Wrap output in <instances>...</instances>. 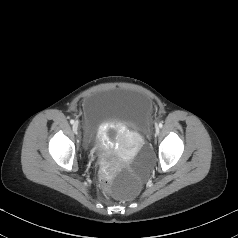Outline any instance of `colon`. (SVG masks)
I'll return each mask as SVG.
<instances>
[{"instance_id": "obj_1", "label": "colon", "mask_w": 238, "mask_h": 238, "mask_svg": "<svg viewBox=\"0 0 238 238\" xmlns=\"http://www.w3.org/2000/svg\"><path fill=\"white\" fill-rule=\"evenodd\" d=\"M100 185L103 189H108L109 185H110V180L107 177H102L100 179Z\"/></svg>"}]
</instances>
